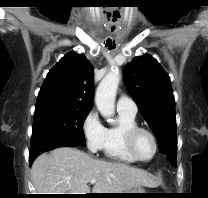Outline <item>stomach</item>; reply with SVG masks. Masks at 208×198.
<instances>
[{
	"mask_svg": "<svg viewBox=\"0 0 208 198\" xmlns=\"http://www.w3.org/2000/svg\"><path fill=\"white\" fill-rule=\"evenodd\" d=\"M122 193L120 196L122 198H142L144 196L143 194L147 192L141 187H134Z\"/></svg>",
	"mask_w": 208,
	"mask_h": 198,
	"instance_id": "obj_1",
	"label": "stomach"
}]
</instances>
